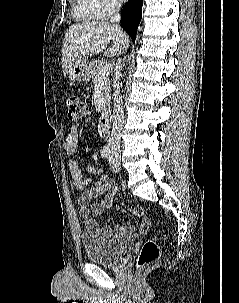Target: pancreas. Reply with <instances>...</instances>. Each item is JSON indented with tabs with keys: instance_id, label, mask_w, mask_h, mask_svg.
Here are the masks:
<instances>
[{
	"instance_id": "cf45deb5",
	"label": "pancreas",
	"mask_w": 239,
	"mask_h": 303,
	"mask_svg": "<svg viewBox=\"0 0 239 303\" xmlns=\"http://www.w3.org/2000/svg\"><path fill=\"white\" fill-rule=\"evenodd\" d=\"M105 62L103 60H94L90 62L88 66L89 70V77L92 79L93 83L96 84L98 80V73L101 70V68L104 66ZM103 85H102V95H103V111L106 110V108L110 104V79L107 76L105 79L102 80Z\"/></svg>"
}]
</instances>
